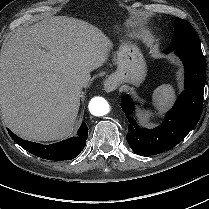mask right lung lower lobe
<instances>
[{
  "label": "right lung lower lobe",
  "instance_id": "1",
  "mask_svg": "<svg viewBox=\"0 0 209 209\" xmlns=\"http://www.w3.org/2000/svg\"><path fill=\"white\" fill-rule=\"evenodd\" d=\"M8 133L18 145L23 147L31 154L47 160L63 161L71 160L77 157L84 149L86 145V139L88 137V127L84 122H82L76 137H71L64 141L50 145H43L23 140L10 130H8Z\"/></svg>",
  "mask_w": 209,
  "mask_h": 209
}]
</instances>
